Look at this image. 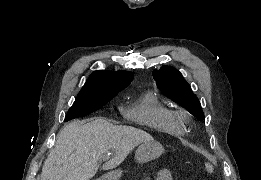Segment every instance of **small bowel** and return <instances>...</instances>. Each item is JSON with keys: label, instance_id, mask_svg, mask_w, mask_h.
Wrapping results in <instances>:
<instances>
[{"label": "small bowel", "instance_id": "obj_1", "mask_svg": "<svg viewBox=\"0 0 261 180\" xmlns=\"http://www.w3.org/2000/svg\"><path fill=\"white\" fill-rule=\"evenodd\" d=\"M156 180H171V174L166 169H160L154 177Z\"/></svg>", "mask_w": 261, "mask_h": 180}]
</instances>
